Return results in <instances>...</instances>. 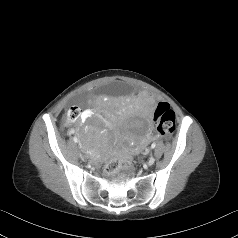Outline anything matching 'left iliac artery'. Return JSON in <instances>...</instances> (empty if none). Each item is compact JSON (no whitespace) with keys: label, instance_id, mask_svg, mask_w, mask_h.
<instances>
[{"label":"left iliac artery","instance_id":"44dca946","mask_svg":"<svg viewBox=\"0 0 238 238\" xmlns=\"http://www.w3.org/2000/svg\"><path fill=\"white\" fill-rule=\"evenodd\" d=\"M155 147H156V143H153V144L151 145V148L154 149Z\"/></svg>","mask_w":238,"mask_h":238}]
</instances>
